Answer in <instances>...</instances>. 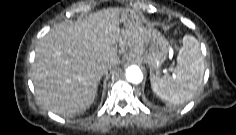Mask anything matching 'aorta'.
Segmentation results:
<instances>
[{"label":"aorta","mask_w":236,"mask_h":135,"mask_svg":"<svg viewBox=\"0 0 236 135\" xmlns=\"http://www.w3.org/2000/svg\"><path fill=\"white\" fill-rule=\"evenodd\" d=\"M126 79L134 84H138L143 80V74L136 65L129 66L125 71Z\"/></svg>","instance_id":"obj_1"}]
</instances>
